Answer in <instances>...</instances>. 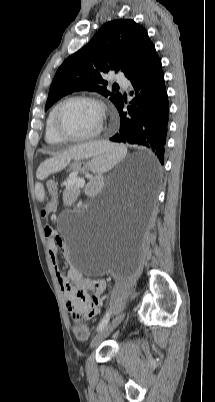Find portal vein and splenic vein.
Segmentation results:
<instances>
[{
	"instance_id": "portal-vein-and-splenic-vein-1",
	"label": "portal vein and splenic vein",
	"mask_w": 215,
	"mask_h": 402,
	"mask_svg": "<svg viewBox=\"0 0 215 402\" xmlns=\"http://www.w3.org/2000/svg\"><path fill=\"white\" fill-rule=\"evenodd\" d=\"M84 184H85L84 180H78V183H77L78 186L83 187Z\"/></svg>"
}]
</instances>
